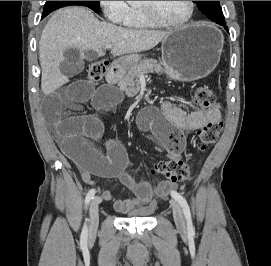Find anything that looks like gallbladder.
I'll return each instance as SVG.
<instances>
[{
  "instance_id": "bac80fb5",
  "label": "gallbladder",
  "mask_w": 271,
  "mask_h": 266,
  "mask_svg": "<svg viewBox=\"0 0 271 266\" xmlns=\"http://www.w3.org/2000/svg\"><path fill=\"white\" fill-rule=\"evenodd\" d=\"M85 57L92 59L94 57L89 55V52L85 53ZM85 67V61L81 58L79 50L76 48H68L64 52V60L60 64V71L66 77L71 78L80 74Z\"/></svg>"
}]
</instances>
